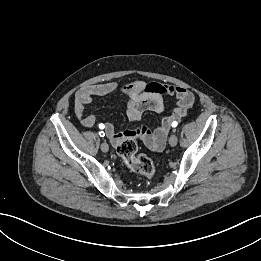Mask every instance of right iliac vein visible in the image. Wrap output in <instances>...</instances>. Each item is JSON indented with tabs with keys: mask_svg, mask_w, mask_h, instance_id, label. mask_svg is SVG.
I'll return each instance as SVG.
<instances>
[{
	"mask_svg": "<svg viewBox=\"0 0 261 261\" xmlns=\"http://www.w3.org/2000/svg\"><path fill=\"white\" fill-rule=\"evenodd\" d=\"M101 150H102L103 152H108V150H109V145H108L106 142H103V143L101 144Z\"/></svg>",
	"mask_w": 261,
	"mask_h": 261,
	"instance_id": "right-iliac-vein-1",
	"label": "right iliac vein"
}]
</instances>
